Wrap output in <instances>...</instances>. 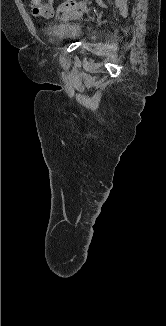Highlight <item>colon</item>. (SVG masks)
<instances>
[{"instance_id": "obj_1", "label": "colon", "mask_w": 166, "mask_h": 326, "mask_svg": "<svg viewBox=\"0 0 166 326\" xmlns=\"http://www.w3.org/2000/svg\"><path fill=\"white\" fill-rule=\"evenodd\" d=\"M81 6L80 3L75 2L74 0H67L58 7V12L60 14H68L72 11L78 9Z\"/></svg>"}]
</instances>
